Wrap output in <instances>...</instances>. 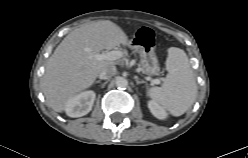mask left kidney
<instances>
[{
	"instance_id": "left-kidney-1",
	"label": "left kidney",
	"mask_w": 248,
	"mask_h": 158,
	"mask_svg": "<svg viewBox=\"0 0 248 158\" xmlns=\"http://www.w3.org/2000/svg\"><path fill=\"white\" fill-rule=\"evenodd\" d=\"M148 108L150 109L151 113L160 120L166 119L168 116L167 112L153 100L148 101Z\"/></svg>"
}]
</instances>
